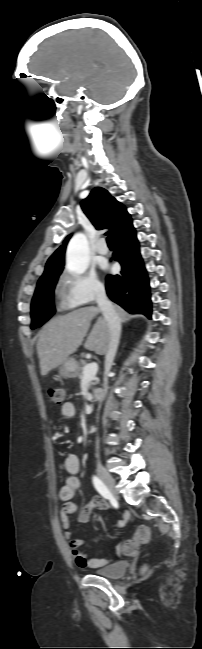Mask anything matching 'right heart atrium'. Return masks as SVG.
<instances>
[{
  "label": "right heart atrium",
  "instance_id": "right-heart-atrium-1",
  "mask_svg": "<svg viewBox=\"0 0 202 649\" xmlns=\"http://www.w3.org/2000/svg\"><path fill=\"white\" fill-rule=\"evenodd\" d=\"M104 293V284L93 272L65 271L60 276L59 307L71 309L88 305Z\"/></svg>",
  "mask_w": 202,
  "mask_h": 649
}]
</instances>
